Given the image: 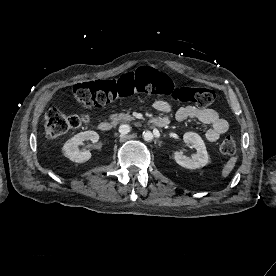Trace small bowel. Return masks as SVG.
<instances>
[{
  "mask_svg": "<svg viewBox=\"0 0 276 276\" xmlns=\"http://www.w3.org/2000/svg\"><path fill=\"white\" fill-rule=\"evenodd\" d=\"M153 107L161 113H169L172 111L171 105L164 100L155 101ZM161 118L168 120L166 117ZM175 118L178 121L196 119L204 124L210 125V128L205 134L206 139L210 142L217 141L229 129L228 121L220 116L213 108H199L192 105L181 107L175 112Z\"/></svg>",
  "mask_w": 276,
  "mask_h": 276,
  "instance_id": "small-bowel-1",
  "label": "small bowel"
}]
</instances>
